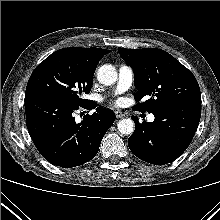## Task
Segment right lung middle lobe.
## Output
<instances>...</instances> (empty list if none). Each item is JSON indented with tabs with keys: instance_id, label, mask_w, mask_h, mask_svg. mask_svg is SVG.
Listing matches in <instances>:
<instances>
[{
	"instance_id": "obj_1",
	"label": "right lung middle lobe",
	"mask_w": 220,
	"mask_h": 220,
	"mask_svg": "<svg viewBox=\"0 0 220 220\" xmlns=\"http://www.w3.org/2000/svg\"><path fill=\"white\" fill-rule=\"evenodd\" d=\"M95 67L79 57L58 50L42 61L29 78L25 95L46 94L74 105L87 102L82 93H90Z\"/></svg>"
}]
</instances>
